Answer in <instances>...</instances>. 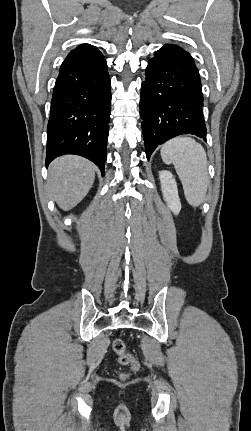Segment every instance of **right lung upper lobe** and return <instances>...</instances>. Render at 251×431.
I'll list each match as a JSON object with an SVG mask.
<instances>
[{"mask_svg":"<svg viewBox=\"0 0 251 431\" xmlns=\"http://www.w3.org/2000/svg\"><path fill=\"white\" fill-rule=\"evenodd\" d=\"M89 44H83V45H81V46H88Z\"/></svg>","mask_w":251,"mask_h":431,"instance_id":"cb5924a9","label":"right lung upper lobe"}]
</instances>
